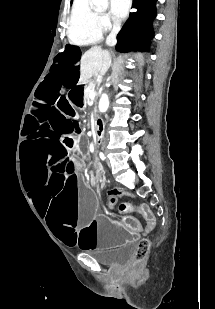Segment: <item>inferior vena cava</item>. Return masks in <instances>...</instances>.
Here are the masks:
<instances>
[{
	"mask_svg": "<svg viewBox=\"0 0 215 309\" xmlns=\"http://www.w3.org/2000/svg\"><path fill=\"white\" fill-rule=\"evenodd\" d=\"M121 28V22L120 20H118V18H115V20H113V28L110 32V34H108L107 38H106V44H108V46H114V44H116L117 42V34L119 32Z\"/></svg>",
	"mask_w": 215,
	"mask_h": 309,
	"instance_id": "obj_1",
	"label": "inferior vena cava"
}]
</instances>
